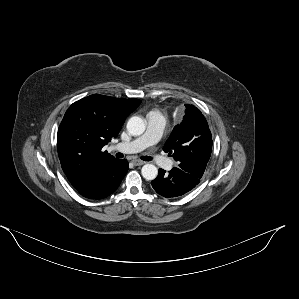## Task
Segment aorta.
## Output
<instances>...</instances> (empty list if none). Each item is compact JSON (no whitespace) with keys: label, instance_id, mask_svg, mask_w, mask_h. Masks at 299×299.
<instances>
[{"label":"aorta","instance_id":"obj_1","mask_svg":"<svg viewBox=\"0 0 299 299\" xmlns=\"http://www.w3.org/2000/svg\"><path fill=\"white\" fill-rule=\"evenodd\" d=\"M146 129V121L139 117L133 116L127 122V130L133 136H139ZM141 174L146 180H154L158 175V169L153 164H145L141 169Z\"/></svg>","mask_w":299,"mask_h":299}]
</instances>
